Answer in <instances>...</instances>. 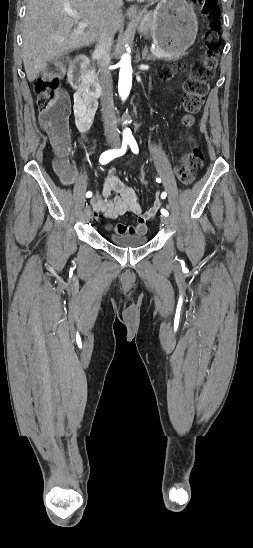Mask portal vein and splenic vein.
Returning a JSON list of instances; mask_svg holds the SVG:
<instances>
[{
  "mask_svg": "<svg viewBox=\"0 0 253 548\" xmlns=\"http://www.w3.org/2000/svg\"><path fill=\"white\" fill-rule=\"evenodd\" d=\"M78 18H79V20L81 19V17H78ZM87 26H88L87 23L81 21V23H80V25H79V28H82V29H83V28H86ZM154 49H155V47L152 46V47H151V51H153Z\"/></svg>",
  "mask_w": 253,
  "mask_h": 548,
  "instance_id": "obj_1",
  "label": "portal vein and splenic vein"
}]
</instances>
